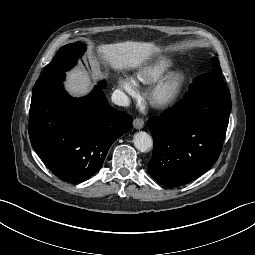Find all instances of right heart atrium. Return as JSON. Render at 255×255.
<instances>
[{"instance_id":"obj_1","label":"right heart atrium","mask_w":255,"mask_h":255,"mask_svg":"<svg viewBox=\"0 0 255 255\" xmlns=\"http://www.w3.org/2000/svg\"><path fill=\"white\" fill-rule=\"evenodd\" d=\"M119 86L122 90H124L130 96H134L137 92L136 83L132 78H128V77L120 78Z\"/></svg>"}]
</instances>
